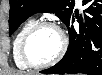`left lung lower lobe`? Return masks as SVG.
<instances>
[{"mask_svg": "<svg viewBox=\"0 0 102 75\" xmlns=\"http://www.w3.org/2000/svg\"><path fill=\"white\" fill-rule=\"evenodd\" d=\"M88 2L92 4L85 9L84 22L79 20V31L72 25L74 14L66 23L70 37L66 54L41 73L102 75V1L84 0L83 4Z\"/></svg>", "mask_w": 102, "mask_h": 75, "instance_id": "1", "label": "left lung lower lobe"}]
</instances>
